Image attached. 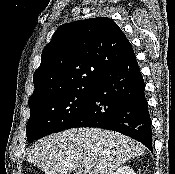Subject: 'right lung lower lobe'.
<instances>
[{
  "label": "right lung lower lobe",
  "instance_id": "right-lung-lower-lobe-1",
  "mask_svg": "<svg viewBox=\"0 0 175 174\" xmlns=\"http://www.w3.org/2000/svg\"><path fill=\"white\" fill-rule=\"evenodd\" d=\"M145 85L134 57L106 72L94 85L80 115L66 129L97 127L120 132L152 152Z\"/></svg>",
  "mask_w": 175,
  "mask_h": 174
}]
</instances>
